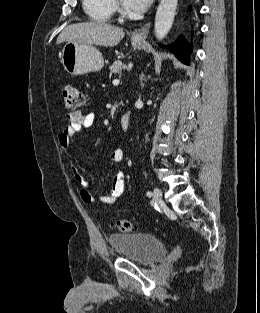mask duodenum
I'll list each match as a JSON object with an SVG mask.
<instances>
[{
	"instance_id": "410a0bca",
	"label": "duodenum",
	"mask_w": 260,
	"mask_h": 313,
	"mask_svg": "<svg viewBox=\"0 0 260 313\" xmlns=\"http://www.w3.org/2000/svg\"><path fill=\"white\" fill-rule=\"evenodd\" d=\"M121 126L124 132H128L130 129V113L125 110L121 117Z\"/></svg>"
}]
</instances>
